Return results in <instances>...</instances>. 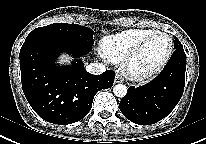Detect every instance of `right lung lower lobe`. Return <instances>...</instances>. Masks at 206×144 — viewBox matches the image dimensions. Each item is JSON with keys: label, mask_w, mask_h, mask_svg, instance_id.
I'll return each mask as SVG.
<instances>
[{"label": "right lung lower lobe", "mask_w": 206, "mask_h": 144, "mask_svg": "<svg viewBox=\"0 0 206 144\" xmlns=\"http://www.w3.org/2000/svg\"><path fill=\"white\" fill-rule=\"evenodd\" d=\"M90 50L46 37L25 40L19 56L22 88L42 119L58 125L75 123L89 113L99 90L113 86L111 70L89 74L80 59L67 67L55 64L61 52L80 58Z\"/></svg>", "instance_id": "98d812e1"}]
</instances>
